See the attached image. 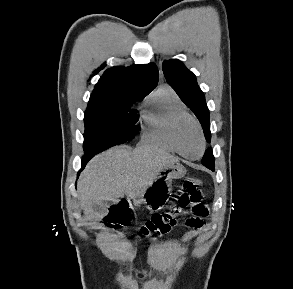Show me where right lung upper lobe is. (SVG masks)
Segmentation results:
<instances>
[{
	"label": "right lung upper lobe",
	"mask_w": 293,
	"mask_h": 289,
	"mask_svg": "<svg viewBox=\"0 0 293 289\" xmlns=\"http://www.w3.org/2000/svg\"><path fill=\"white\" fill-rule=\"evenodd\" d=\"M158 83L154 63L107 69L91 94L89 105L112 103L129 98H144Z\"/></svg>",
	"instance_id": "obj_1"
}]
</instances>
